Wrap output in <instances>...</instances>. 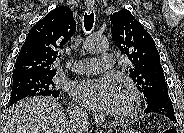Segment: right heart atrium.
I'll list each match as a JSON object with an SVG mask.
<instances>
[{"label":"right heart atrium","mask_w":184,"mask_h":133,"mask_svg":"<svg viewBox=\"0 0 184 133\" xmlns=\"http://www.w3.org/2000/svg\"><path fill=\"white\" fill-rule=\"evenodd\" d=\"M72 109H73L75 112H81V111H82L81 108L78 107V106H76V105H73V106H72Z\"/></svg>","instance_id":"right-heart-atrium-1"}]
</instances>
